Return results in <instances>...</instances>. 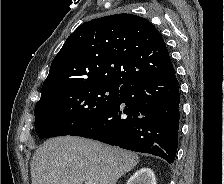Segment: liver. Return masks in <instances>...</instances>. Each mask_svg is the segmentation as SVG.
<instances>
[{"instance_id":"1","label":"liver","mask_w":224,"mask_h":184,"mask_svg":"<svg viewBox=\"0 0 224 184\" xmlns=\"http://www.w3.org/2000/svg\"><path fill=\"white\" fill-rule=\"evenodd\" d=\"M139 163L133 152L80 137L46 141L31 160L32 184H116Z\"/></svg>"}]
</instances>
